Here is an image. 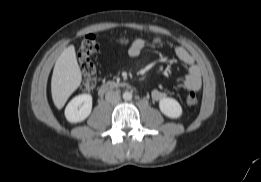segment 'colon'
Instances as JSON below:
<instances>
[{
  "label": "colon",
  "mask_w": 261,
  "mask_h": 182,
  "mask_svg": "<svg viewBox=\"0 0 261 182\" xmlns=\"http://www.w3.org/2000/svg\"><path fill=\"white\" fill-rule=\"evenodd\" d=\"M121 43H127V38H121ZM98 50V43L94 34H87L81 40L77 50V62L83 73L82 88L93 91L98 83L97 68L93 60L94 54ZM198 98L194 92H190L186 97V103L190 106L196 105Z\"/></svg>",
  "instance_id": "1"
}]
</instances>
